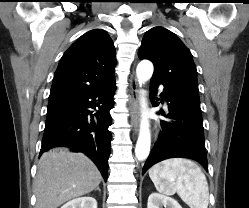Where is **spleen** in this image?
Instances as JSON below:
<instances>
[{"instance_id":"spleen-1","label":"spleen","mask_w":249,"mask_h":208,"mask_svg":"<svg viewBox=\"0 0 249 208\" xmlns=\"http://www.w3.org/2000/svg\"><path fill=\"white\" fill-rule=\"evenodd\" d=\"M149 177L160 193H177L190 208H207L209 188L201 168L182 158L167 159L149 170Z\"/></svg>"}]
</instances>
